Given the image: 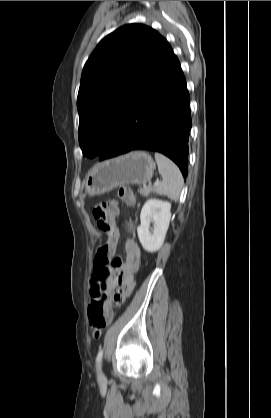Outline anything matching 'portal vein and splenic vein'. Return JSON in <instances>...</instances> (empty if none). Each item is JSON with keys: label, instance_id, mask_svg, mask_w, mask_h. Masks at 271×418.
Segmentation results:
<instances>
[{"label": "portal vein and splenic vein", "instance_id": "1", "mask_svg": "<svg viewBox=\"0 0 271 418\" xmlns=\"http://www.w3.org/2000/svg\"><path fill=\"white\" fill-rule=\"evenodd\" d=\"M159 184H160V180L157 179L156 182H155V184H154V186H158Z\"/></svg>", "mask_w": 271, "mask_h": 418}]
</instances>
